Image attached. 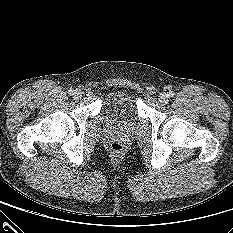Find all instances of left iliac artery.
Wrapping results in <instances>:
<instances>
[{"label":"left iliac artery","instance_id":"left-iliac-artery-1","mask_svg":"<svg viewBox=\"0 0 233 233\" xmlns=\"http://www.w3.org/2000/svg\"><path fill=\"white\" fill-rule=\"evenodd\" d=\"M174 95H175V94H174L173 91H169V92H168V96H169V97H173Z\"/></svg>","mask_w":233,"mask_h":233}]
</instances>
